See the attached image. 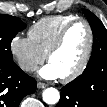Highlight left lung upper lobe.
Returning a JSON list of instances; mask_svg holds the SVG:
<instances>
[{"label":"left lung upper lobe","mask_w":107,"mask_h":107,"mask_svg":"<svg viewBox=\"0 0 107 107\" xmlns=\"http://www.w3.org/2000/svg\"><path fill=\"white\" fill-rule=\"evenodd\" d=\"M83 11L93 31V52L83 74L73 80V82L84 84V86H90L96 70L102 68L100 66L101 58L107 65V30L102 22L92 12L87 9H83Z\"/></svg>","instance_id":"1"}]
</instances>
